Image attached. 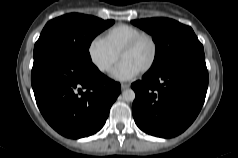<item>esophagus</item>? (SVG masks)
Wrapping results in <instances>:
<instances>
[{"label":"esophagus","instance_id":"esophagus-1","mask_svg":"<svg viewBox=\"0 0 238 158\" xmlns=\"http://www.w3.org/2000/svg\"><path fill=\"white\" fill-rule=\"evenodd\" d=\"M130 87V85L129 84H127V83H122L121 84V88L124 90V89H127V88H129Z\"/></svg>","mask_w":238,"mask_h":158}]
</instances>
